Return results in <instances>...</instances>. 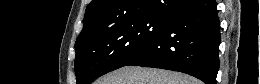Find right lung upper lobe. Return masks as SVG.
<instances>
[{"label": "right lung upper lobe", "mask_w": 260, "mask_h": 84, "mask_svg": "<svg viewBox=\"0 0 260 84\" xmlns=\"http://www.w3.org/2000/svg\"><path fill=\"white\" fill-rule=\"evenodd\" d=\"M194 0H92L87 6L84 25L76 44L97 37L102 28L140 15H167Z\"/></svg>", "instance_id": "1"}]
</instances>
